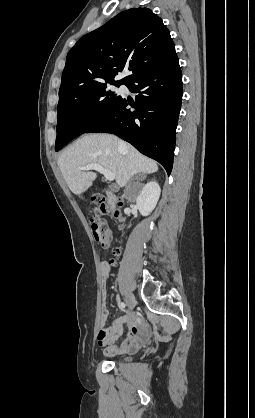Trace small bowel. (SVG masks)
<instances>
[{
  "label": "small bowel",
  "mask_w": 255,
  "mask_h": 418,
  "mask_svg": "<svg viewBox=\"0 0 255 418\" xmlns=\"http://www.w3.org/2000/svg\"><path fill=\"white\" fill-rule=\"evenodd\" d=\"M100 272L102 285L105 289L107 277L110 272V266L106 261L101 262ZM108 310L105 306L101 311V328L98 332L97 340L99 346L104 348V353L107 356H115L129 351L139 349L148 339V329L142 324L138 315H128L124 318L117 319L112 325H105L108 319ZM123 323L127 324L128 331L123 340L118 343V340L123 335Z\"/></svg>",
  "instance_id": "1"
}]
</instances>
